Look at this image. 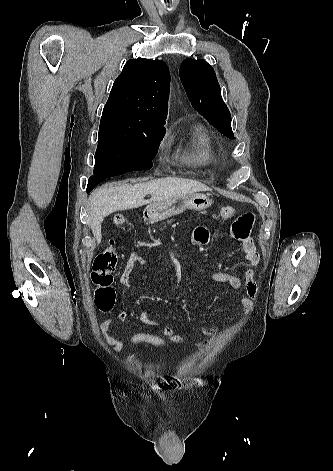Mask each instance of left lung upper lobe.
<instances>
[{
	"instance_id": "left-lung-upper-lobe-1",
	"label": "left lung upper lobe",
	"mask_w": 333,
	"mask_h": 471,
	"mask_svg": "<svg viewBox=\"0 0 333 471\" xmlns=\"http://www.w3.org/2000/svg\"><path fill=\"white\" fill-rule=\"evenodd\" d=\"M179 73L194 109L226 137L234 138L231 114L222 99L213 68L205 60L187 58L183 61Z\"/></svg>"
}]
</instances>
